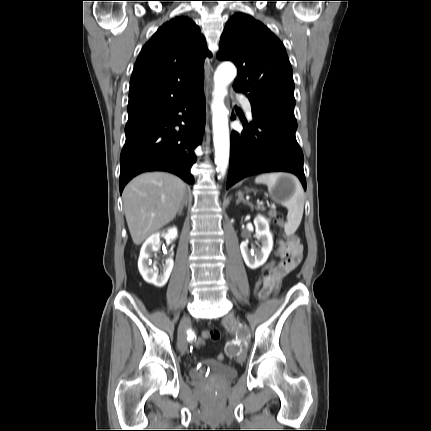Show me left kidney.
Returning a JSON list of instances; mask_svg holds the SVG:
<instances>
[{"instance_id": "obj_1", "label": "left kidney", "mask_w": 431, "mask_h": 431, "mask_svg": "<svg viewBox=\"0 0 431 431\" xmlns=\"http://www.w3.org/2000/svg\"><path fill=\"white\" fill-rule=\"evenodd\" d=\"M255 232L261 246L251 253L248 249V242L240 244V250L245 264L250 269H257L262 266L268 259L273 248V236L269 230V222L262 215H257L254 219Z\"/></svg>"}]
</instances>
